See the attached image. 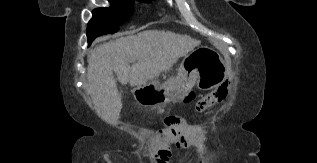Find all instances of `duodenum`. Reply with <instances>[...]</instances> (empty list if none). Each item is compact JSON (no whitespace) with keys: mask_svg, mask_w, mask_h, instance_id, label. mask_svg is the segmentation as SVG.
<instances>
[{"mask_svg":"<svg viewBox=\"0 0 317 163\" xmlns=\"http://www.w3.org/2000/svg\"><path fill=\"white\" fill-rule=\"evenodd\" d=\"M140 91L139 90H134L133 94H138Z\"/></svg>","mask_w":317,"mask_h":163,"instance_id":"duodenum-1","label":"duodenum"}]
</instances>
